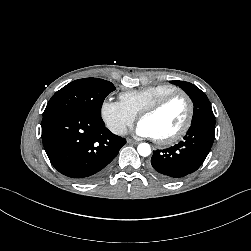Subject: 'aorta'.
Here are the masks:
<instances>
[{"mask_svg": "<svg viewBox=\"0 0 251 251\" xmlns=\"http://www.w3.org/2000/svg\"><path fill=\"white\" fill-rule=\"evenodd\" d=\"M139 155L147 157L151 154V147L148 143H140L137 147Z\"/></svg>", "mask_w": 251, "mask_h": 251, "instance_id": "1", "label": "aorta"}]
</instances>
